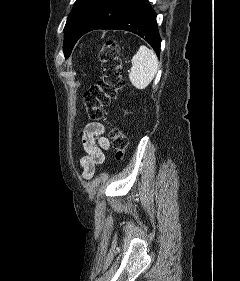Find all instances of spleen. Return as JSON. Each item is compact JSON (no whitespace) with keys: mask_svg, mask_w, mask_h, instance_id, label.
Wrapping results in <instances>:
<instances>
[{"mask_svg":"<svg viewBox=\"0 0 240 281\" xmlns=\"http://www.w3.org/2000/svg\"><path fill=\"white\" fill-rule=\"evenodd\" d=\"M129 79L137 89H145L154 79L158 69V59L152 49L142 45L133 56Z\"/></svg>","mask_w":240,"mask_h":281,"instance_id":"3e777b00","label":"spleen"}]
</instances>
